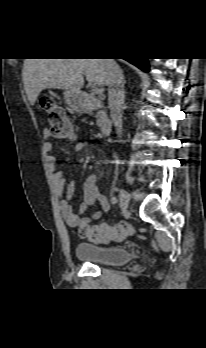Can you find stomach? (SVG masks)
<instances>
[{
  "label": "stomach",
  "instance_id": "0dacf381",
  "mask_svg": "<svg viewBox=\"0 0 206 348\" xmlns=\"http://www.w3.org/2000/svg\"><path fill=\"white\" fill-rule=\"evenodd\" d=\"M64 99L68 106L75 111L82 112L87 107L86 100L81 92L65 90Z\"/></svg>",
  "mask_w": 206,
  "mask_h": 348
}]
</instances>
